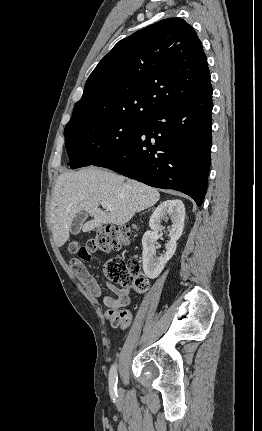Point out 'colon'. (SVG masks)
<instances>
[{"instance_id":"5ec220e1","label":"colon","mask_w":262,"mask_h":431,"mask_svg":"<svg viewBox=\"0 0 262 431\" xmlns=\"http://www.w3.org/2000/svg\"><path fill=\"white\" fill-rule=\"evenodd\" d=\"M133 235V230L128 226L113 227L101 226L84 243L73 242L69 246V252L78 256V262L74 271H81V261H89L97 252H107L120 249L127 245ZM105 278L124 287H132L135 292L143 293L147 289L146 277L140 272V261L137 258L122 259L109 258L103 264ZM109 321L113 327L126 328L131 317L126 311H120L110 316Z\"/></svg>"}]
</instances>
